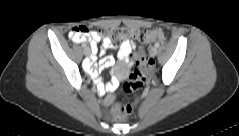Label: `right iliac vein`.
<instances>
[{
  "label": "right iliac vein",
  "instance_id": "1",
  "mask_svg": "<svg viewBox=\"0 0 239 136\" xmlns=\"http://www.w3.org/2000/svg\"><path fill=\"white\" fill-rule=\"evenodd\" d=\"M84 54H85L86 56H89V55L91 54V50H90L89 47L84 48Z\"/></svg>",
  "mask_w": 239,
  "mask_h": 136
}]
</instances>
